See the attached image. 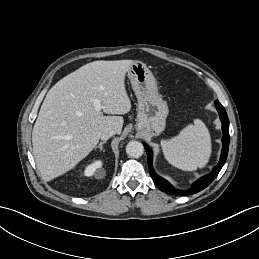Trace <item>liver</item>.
Here are the masks:
<instances>
[{"label":"liver","mask_w":259,"mask_h":259,"mask_svg":"<svg viewBox=\"0 0 259 259\" xmlns=\"http://www.w3.org/2000/svg\"><path fill=\"white\" fill-rule=\"evenodd\" d=\"M132 60L94 61L58 81L47 93L32 131L33 155L45 181L73 169L97 145L101 134H120L131 110L125 74Z\"/></svg>","instance_id":"obj_1"}]
</instances>
